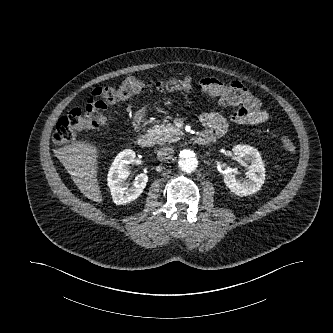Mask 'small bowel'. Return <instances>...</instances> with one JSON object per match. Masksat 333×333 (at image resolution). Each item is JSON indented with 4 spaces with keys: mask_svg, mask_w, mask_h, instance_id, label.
<instances>
[{
    "mask_svg": "<svg viewBox=\"0 0 333 333\" xmlns=\"http://www.w3.org/2000/svg\"><path fill=\"white\" fill-rule=\"evenodd\" d=\"M200 86L202 91L217 98L220 105L234 108L231 119L236 123L260 124L268 118L261 101L237 81L223 83L213 77H206L201 80ZM200 121L209 128L206 132L213 138L222 136L227 128L226 119L217 112L202 113Z\"/></svg>",
    "mask_w": 333,
    "mask_h": 333,
    "instance_id": "c3829d8e",
    "label": "small bowel"
}]
</instances>
